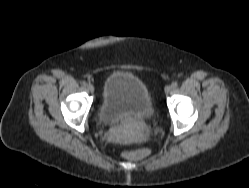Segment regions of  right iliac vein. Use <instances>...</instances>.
Returning <instances> with one entry per match:
<instances>
[{"instance_id": "1", "label": "right iliac vein", "mask_w": 249, "mask_h": 188, "mask_svg": "<svg viewBox=\"0 0 249 188\" xmlns=\"http://www.w3.org/2000/svg\"><path fill=\"white\" fill-rule=\"evenodd\" d=\"M87 89L91 92L94 93V86L92 84L87 85Z\"/></svg>"}]
</instances>
